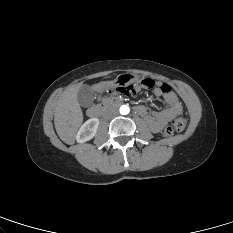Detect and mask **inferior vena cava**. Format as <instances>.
I'll list each match as a JSON object with an SVG mask.
<instances>
[{"mask_svg":"<svg viewBox=\"0 0 233 233\" xmlns=\"http://www.w3.org/2000/svg\"><path fill=\"white\" fill-rule=\"evenodd\" d=\"M117 114V110L114 108L107 109L104 113L106 119H111Z\"/></svg>","mask_w":233,"mask_h":233,"instance_id":"obj_1","label":"inferior vena cava"}]
</instances>
